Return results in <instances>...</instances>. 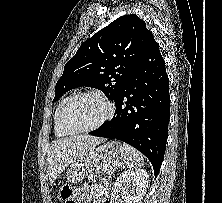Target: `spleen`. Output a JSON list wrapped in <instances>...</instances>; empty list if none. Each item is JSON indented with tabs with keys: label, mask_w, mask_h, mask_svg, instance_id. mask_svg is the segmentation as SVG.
Instances as JSON below:
<instances>
[{
	"label": "spleen",
	"mask_w": 222,
	"mask_h": 203,
	"mask_svg": "<svg viewBox=\"0 0 222 203\" xmlns=\"http://www.w3.org/2000/svg\"><path fill=\"white\" fill-rule=\"evenodd\" d=\"M125 148V156H126V166L129 168H136V167H141L144 164V159L143 155L133 148L132 146L124 143L123 144Z\"/></svg>",
	"instance_id": "1"
}]
</instances>
